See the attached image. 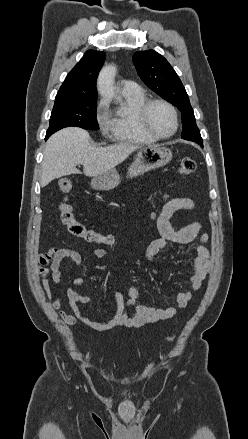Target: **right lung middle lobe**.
<instances>
[{
    "instance_id": "obj_1",
    "label": "right lung middle lobe",
    "mask_w": 248,
    "mask_h": 439,
    "mask_svg": "<svg viewBox=\"0 0 248 439\" xmlns=\"http://www.w3.org/2000/svg\"><path fill=\"white\" fill-rule=\"evenodd\" d=\"M97 98H56L50 117L46 139L54 132L69 126L98 130L96 120Z\"/></svg>"
}]
</instances>
